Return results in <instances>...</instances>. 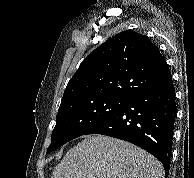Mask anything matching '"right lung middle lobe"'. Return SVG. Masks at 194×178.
Wrapping results in <instances>:
<instances>
[{"label": "right lung middle lobe", "instance_id": "right-lung-middle-lobe-1", "mask_svg": "<svg viewBox=\"0 0 194 178\" xmlns=\"http://www.w3.org/2000/svg\"><path fill=\"white\" fill-rule=\"evenodd\" d=\"M126 101L127 99L116 97H90L60 107L47 153L84 135Z\"/></svg>", "mask_w": 194, "mask_h": 178}]
</instances>
